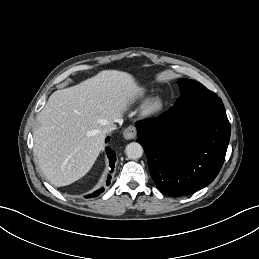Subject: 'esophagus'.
<instances>
[{"label":"esophagus","mask_w":259,"mask_h":259,"mask_svg":"<svg viewBox=\"0 0 259 259\" xmlns=\"http://www.w3.org/2000/svg\"><path fill=\"white\" fill-rule=\"evenodd\" d=\"M123 136L125 139L127 140H131L134 139L137 136V129L134 125H130L128 126L124 132H123Z\"/></svg>","instance_id":"obj_1"}]
</instances>
